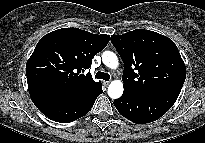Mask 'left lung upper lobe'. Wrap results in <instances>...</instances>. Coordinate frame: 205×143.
<instances>
[{
    "label": "left lung upper lobe",
    "mask_w": 205,
    "mask_h": 143,
    "mask_svg": "<svg viewBox=\"0 0 205 143\" xmlns=\"http://www.w3.org/2000/svg\"><path fill=\"white\" fill-rule=\"evenodd\" d=\"M124 62V92L144 95L168 89L181 91L186 67L177 46L159 33L136 29L111 36Z\"/></svg>",
    "instance_id": "obj_1"
}]
</instances>
